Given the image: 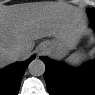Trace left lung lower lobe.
<instances>
[{
  "label": "left lung lower lobe",
  "instance_id": "1",
  "mask_svg": "<svg viewBox=\"0 0 95 95\" xmlns=\"http://www.w3.org/2000/svg\"><path fill=\"white\" fill-rule=\"evenodd\" d=\"M91 26L95 27V14L89 11ZM45 63L44 78L49 93L54 95H94L95 94V62L81 69L73 70L62 63L41 58Z\"/></svg>",
  "mask_w": 95,
  "mask_h": 95
}]
</instances>
